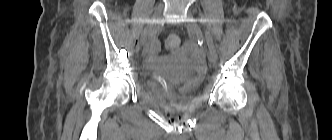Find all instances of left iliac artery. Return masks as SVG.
<instances>
[{
	"mask_svg": "<svg viewBox=\"0 0 332 140\" xmlns=\"http://www.w3.org/2000/svg\"><path fill=\"white\" fill-rule=\"evenodd\" d=\"M198 29H199V33L202 34L201 29L199 27H198ZM205 38H206L207 45L209 47L210 52L217 58L216 48L214 46L212 36L208 31H205Z\"/></svg>",
	"mask_w": 332,
	"mask_h": 140,
	"instance_id": "obj_1",
	"label": "left iliac artery"
}]
</instances>
